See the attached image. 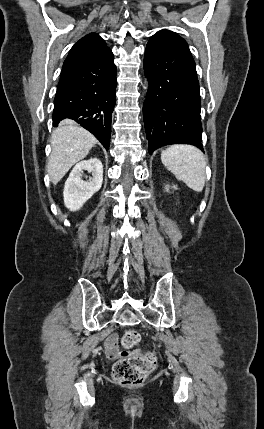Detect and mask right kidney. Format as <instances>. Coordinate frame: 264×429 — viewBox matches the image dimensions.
<instances>
[{"label": "right kidney", "mask_w": 264, "mask_h": 429, "mask_svg": "<svg viewBox=\"0 0 264 429\" xmlns=\"http://www.w3.org/2000/svg\"><path fill=\"white\" fill-rule=\"evenodd\" d=\"M84 171L92 174L84 181ZM103 182V165L98 158H91L77 163L64 186V204L71 210H79L83 204L98 192Z\"/></svg>", "instance_id": "ca27d5eb"}]
</instances>
